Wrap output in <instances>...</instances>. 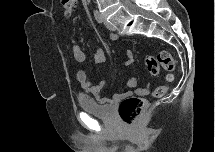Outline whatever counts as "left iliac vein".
Returning <instances> with one entry per match:
<instances>
[{"mask_svg":"<svg viewBox=\"0 0 215 152\" xmlns=\"http://www.w3.org/2000/svg\"><path fill=\"white\" fill-rule=\"evenodd\" d=\"M100 15H101V18H102V20H103L105 26H106L109 30L114 31V30H115V27H114L110 22H108V21L106 20V18H105V16H104L103 14H100Z\"/></svg>","mask_w":215,"mask_h":152,"instance_id":"4c4485c4","label":"left iliac vein"}]
</instances>
